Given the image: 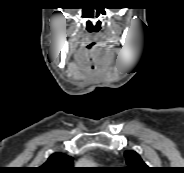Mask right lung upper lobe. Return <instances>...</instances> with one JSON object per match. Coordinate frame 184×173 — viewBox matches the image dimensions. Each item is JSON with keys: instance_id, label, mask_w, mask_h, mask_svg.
<instances>
[{"instance_id": "1", "label": "right lung upper lobe", "mask_w": 184, "mask_h": 173, "mask_svg": "<svg viewBox=\"0 0 184 173\" xmlns=\"http://www.w3.org/2000/svg\"><path fill=\"white\" fill-rule=\"evenodd\" d=\"M72 157L63 153H54L37 169V173H73Z\"/></svg>"}]
</instances>
